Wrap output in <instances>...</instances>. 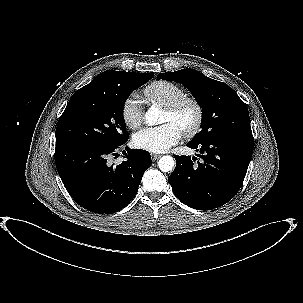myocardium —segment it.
I'll return each mask as SVG.
<instances>
[{
  "label": "myocardium",
  "mask_w": 303,
  "mask_h": 303,
  "mask_svg": "<svg viewBox=\"0 0 303 303\" xmlns=\"http://www.w3.org/2000/svg\"><path fill=\"white\" fill-rule=\"evenodd\" d=\"M185 106H191L194 110V120L192 124L181 130L185 137L190 138L195 136L200 131L203 123L204 112L201 104L195 98L185 96L171 105L166 106L164 110L172 115H175Z\"/></svg>",
  "instance_id": "myocardium-1"
}]
</instances>
